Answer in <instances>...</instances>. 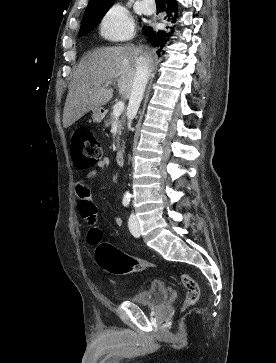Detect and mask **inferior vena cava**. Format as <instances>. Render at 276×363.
Here are the masks:
<instances>
[{"mask_svg": "<svg viewBox=\"0 0 276 363\" xmlns=\"http://www.w3.org/2000/svg\"><path fill=\"white\" fill-rule=\"evenodd\" d=\"M149 77V65L144 57H139L136 62L134 80L127 107L128 127H131V121L136 116L140 103L143 99L146 84Z\"/></svg>", "mask_w": 276, "mask_h": 363, "instance_id": "inferior-vena-cava-1", "label": "inferior vena cava"}]
</instances>
